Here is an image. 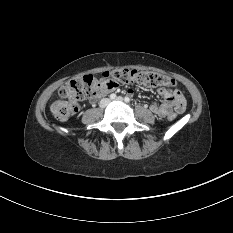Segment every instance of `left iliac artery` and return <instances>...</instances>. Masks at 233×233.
Listing matches in <instances>:
<instances>
[{
	"mask_svg": "<svg viewBox=\"0 0 233 233\" xmlns=\"http://www.w3.org/2000/svg\"><path fill=\"white\" fill-rule=\"evenodd\" d=\"M124 100H125V102H128V103L130 102V98L127 96L124 98Z\"/></svg>",
	"mask_w": 233,
	"mask_h": 233,
	"instance_id": "obj_1",
	"label": "left iliac artery"
}]
</instances>
